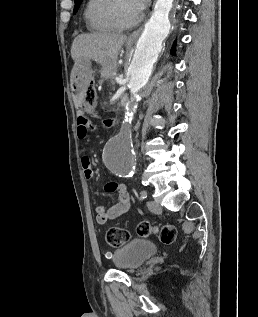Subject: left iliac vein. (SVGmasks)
Listing matches in <instances>:
<instances>
[{"mask_svg":"<svg viewBox=\"0 0 258 317\" xmlns=\"http://www.w3.org/2000/svg\"><path fill=\"white\" fill-rule=\"evenodd\" d=\"M148 204L153 213L162 212V207H160L157 200H151Z\"/></svg>","mask_w":258,"mask_h":317,"instance_id":"obj_1","label":"left iliac vein"}]
</instances>
